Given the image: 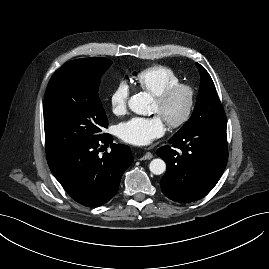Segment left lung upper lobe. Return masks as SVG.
I'll return each instance as SVG.
<instances>
[{
    "instance_id": "1",
    "label": "left lung upper lobe",
    "mask_w": 269,
    "mask_h": 269,
    "mask_svg": "<svg viewBox=\"0 0 269 269\" xmlns=\"http://www.w3.org/2000/svg\"><path fill=\"white\" fill-rule=\"evenodd\" d=\"M196 66L201 76L196 105L190 119L175 135L186 132L196 126L226 124V116L213 80L205 68L198 63H196Z\"/></svg>"
}]
</instances>
